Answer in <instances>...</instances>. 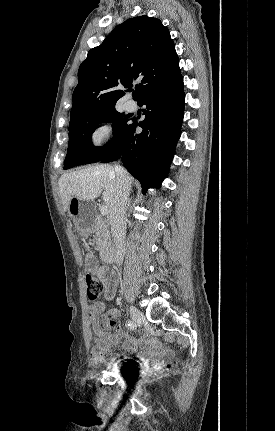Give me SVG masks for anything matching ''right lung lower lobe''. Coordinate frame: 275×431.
<instances>
[{
    "label": "right lung lower lobe",
    "mask_w": 275,
    "mask_h": 431,
    "mask_svg": "<svg viewBox=\"0 0 275 431\" xmlns=\"http://www.w3.org/2000/svg\"><path fill=\"white\" fill-rule=\"evenodd\" d=\"M137 103L146 105L145 119L138 122L131 118L123 136L100 162L121 156L124 167L140 181L145 193L148 188H158L167 176L181 135L185 94L180 69ZM138 126L143 129L139 134L135 132Z\"/></svg>",
    "instance_id": "98d812e1"
}]
</instances>
